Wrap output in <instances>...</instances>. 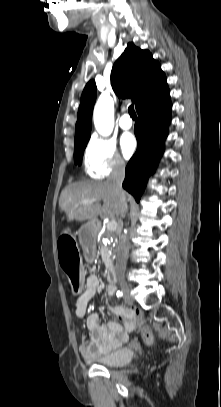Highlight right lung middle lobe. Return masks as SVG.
<instances>
[{"label":"right lung middle lobe","mask_w":221,"mask_h":407,"mask_svg":"<svg viewBox=\"0 0 221 407\" xmlns=\"http://www.w3.org/2000/svg\"><path fill=\"white\" fill-rule=\"evenodd\" d=\"M88 141H84L78 144H75V149H74V162L75 164L80 165L82 163V157H83V152L84 149L87 145Z\"/></svg>","instance_id":"1"}]
</instances>
